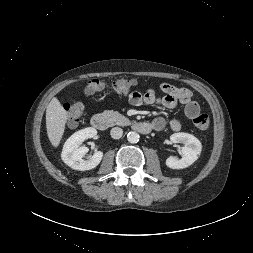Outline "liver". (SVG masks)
Masks as SVG:
<instances>
[{
	"label": "liver",
	"instance_id": "6515ba94",
	"mask_svg": "<svg viewBox=\"0 0 253 253\" xmlns=\"http://www.w3.org/2000/svg\"><path fill=\"white\" fill-rule=\"evenodd\" d=\"M68 113L59 100L54 97L46 109V128L49 141L54 147H58L64 134Z\"/></svg>",
	"mask_w": 253,
	"mask_h": 253
}]
</instances>
